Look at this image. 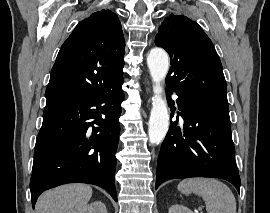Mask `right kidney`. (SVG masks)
<instances>
[{
	"label": "right kidney",
	"instance_id": "1",
	"mask_svg": "<svg viewBox=\"0 0 270 213\" xmlns=\"http://www.w3.org/2000/svg\"><path fill=\"white\" fill-rule=\"evenodd\" d=\"M77 213H107L105 204L100 201L92 202L78 210Z\"/></svg>",
	"mask_w": 270,
	"mask_h": 213
}]
</instances>
